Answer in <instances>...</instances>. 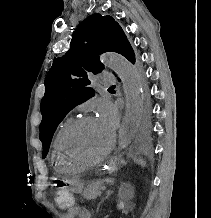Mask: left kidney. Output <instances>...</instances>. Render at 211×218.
<instances>
[{
    "label": "left kidney",
    "mask_w": 211,
    "mask_h": 218,
    "mask_svg": "<svg viewBox=\"0 0 211 218\" xmlns=\"http://www.w3.org/2000/svg\"><path fill=\"white\" fill-rule=\"evenodd\" d=\"M132 202H117L115 210H122V215H133Z\"/></svg>",
    "instance_id": "left-kidney-1"
}]
</instances>
